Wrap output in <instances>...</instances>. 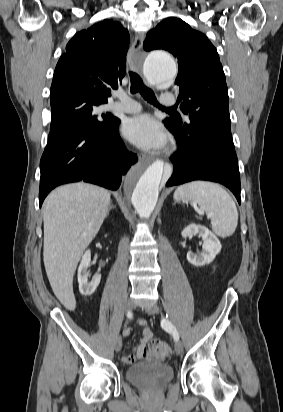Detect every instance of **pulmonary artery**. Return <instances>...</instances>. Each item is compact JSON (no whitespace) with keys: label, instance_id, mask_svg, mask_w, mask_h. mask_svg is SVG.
Returning <instances> with one entry per match:
<instances>
[{"label":"pulmonary artery","instance_id":"1","mask_svg":"<svg viewBox=\"0 0 283 412\" xmlns=\"http://www.w3.org/2000/svg\"><path fill=\"white\" fill-rule=\"evenodd\" d=\"M118 97L120 101L113 106L115 110L124 113H137L141 110V105L132 98L122 94H119ZM159 102L163 106H173L177 103V97L172 94H164Z\"/></svg>","mask_w":283,"mask_h":412}]
</instances>
